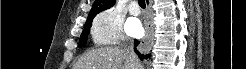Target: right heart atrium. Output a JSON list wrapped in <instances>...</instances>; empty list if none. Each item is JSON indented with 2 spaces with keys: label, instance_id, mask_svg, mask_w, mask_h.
<instances>
[{
  "label": "right heart atrium",
  "instance_id": "obj_1",
  "mask_svg": "<svg viewBox=\"0 0 246 69\" xmlns=\"http://www.w3.org/2000/svg\"><path fill=\"white\" fill-rule=\"evenodd\" d=\"M90 37L95 46L113 45L125 38L123 17L114 9H105L93 20Z\"/></svg>",
  "mask_w": 246,
  "mask_h": 69
}]
</instances>
